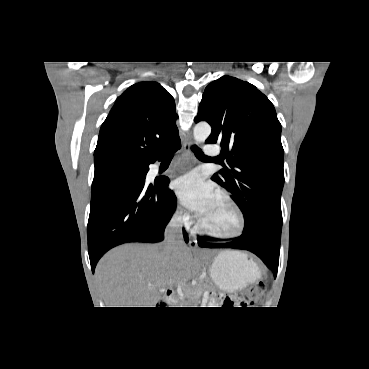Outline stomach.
<instances>
[{"label": "stomach", "instance_id": "1", "mask_svg": "<svg viewBox=\"0 0 369 369\" xmlns=\"http://www.w3.org/2000/svg\"><path fill=\"white\" fill-rule=\"evenodd\" d=\"M210 276L223 291L236 292L259 277L256 264L238 251H223L210 266Z\"/></svg>", "mask_w": 369, "mask_h": 369}]
</instances>
